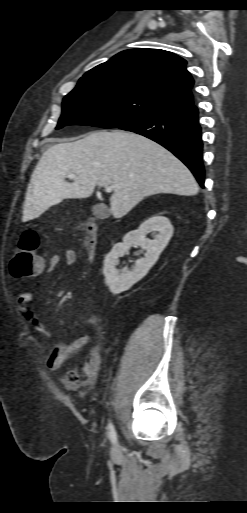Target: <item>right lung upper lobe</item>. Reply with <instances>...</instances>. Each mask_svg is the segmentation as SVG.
<instances>
[{
    "label": "right lung upper lobe",
    "mask_w": 247,
    "mask_h": 513,
    "mask_svg": "<svg viewBox=\"0 0 247 513\" xmlns=\"http://www.w3.org/2000/svg\"><path fill=\"white\" fill-rule=\"evenodd\" d=\"M193 84L183 58L160 49H131L89 70L77 87L125 89L172 109L193 104Z\"/></svg>",
    "instance_id": "cb5924a9"
}]
</instances>
